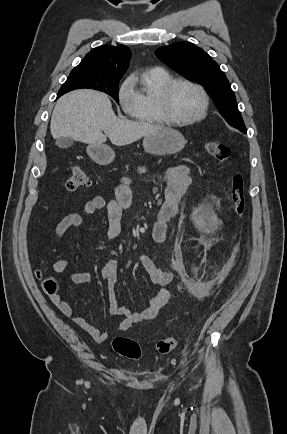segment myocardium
I'll list each match as a JSON object with an SVG mask.
<instances>
[{
  "label": "myocardium",
  "instance_id": "1",
  "mask_svg": "<svg viewBox=\"0 0 287 434\" xmlns=\"http://www.w3.org/2000/svg\"><path fill=\"white\" fill-rule=\"evenodd\" d=\"M180 84L194 88L200 95L202 105L197 115L189 119H177L172 116L169 110V97L172 90ZM156 103L158 110L165 122L173 125H190L201 121L207 114L209 98L205 89L198 83L185 78H172L163 85L156 93Z\"/></svg>",
  "mask_w": 287,
  "mask_h": 434
}]
</instances>
